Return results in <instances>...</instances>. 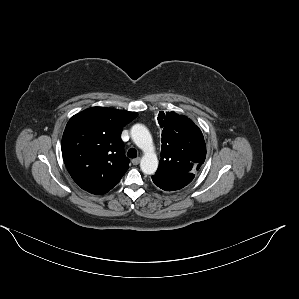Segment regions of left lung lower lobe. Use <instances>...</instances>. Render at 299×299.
<instances>
[{"label": "left lung lower lobe", "mask_w": 299, "mask_h": 299, "mask_svg": "<svg viewBox=\"0 0 299 299\" xmlns=\"http://www.w3.org/2000/svg\"><path fill=\"white\" fill-rule=\"evenodd\" d=\"M193 178L192 173L155 174L152 176L153 182L165 191L180 190L188 185Z\"/></svg>", "instance_id": "0a47b994"}]
</instances>
